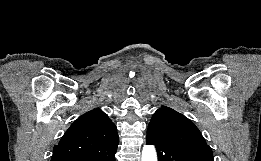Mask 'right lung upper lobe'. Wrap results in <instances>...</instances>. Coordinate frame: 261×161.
Instances as JSON below:
<instances>
[{"instance_id": "cb5924a9", "label": "right lung upper lobe", "mask_w": 261, "mask_h": 161, "mask_svg": "<svg viewBox=\"0 0 261 161\" xmlns=\"http://www.w3.org/2000/svg\"><path fill=\"white\" fill-rule=\"evenodd\" d=\"M119 144L114 123L100 109L79 117L54 146L51 161H67L78 156L98 153Z\"/></svg>"}]
</instances>
